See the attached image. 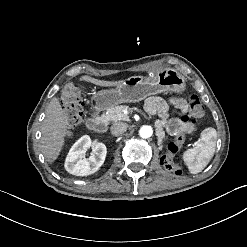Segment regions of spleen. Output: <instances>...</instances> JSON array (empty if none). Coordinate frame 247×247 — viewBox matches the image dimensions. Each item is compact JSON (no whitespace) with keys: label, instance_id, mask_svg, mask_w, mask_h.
<instances>
[{"label":"spleen","instance_id":"3e777b00","mask_svg":"<svg viewBox=\"0 0 247 247\" xmlns=\"http://www.w3.org/2000/svg\"><path fill=\"white\" fill-rule=\"evenodd\" d=\"M199 140L197 146L184 154V160L193 174L201 172L211 160L216 146L217 131L207 128L202 131Z\"/></svg>","mask_w":247,"mask_h":247}]
</instances>
